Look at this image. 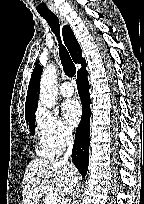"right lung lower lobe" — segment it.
Here are the masks:
<instances>
[{"label": "right lung lower lobe", "mask_w": 144, "mask_h": 204, "mask_svg": "<svg viewBox=\"0 0 144 204\" xmlns=\"http://www.w3.org/2000/svg\"><path fill=\"white\" fill-rule=\"evenodd\" d=\"M77 88L82 102V117L76 130L74 146L72 150V161L85 177L88 170L89 144H90V97L87 71L85 67L78 71Z\"/></svg>", "instance_id": "right-lung-lower-lobe-1"}]
</instances>
